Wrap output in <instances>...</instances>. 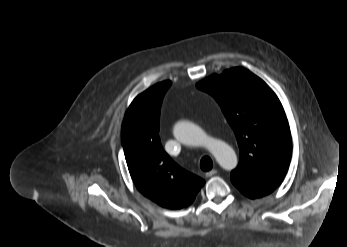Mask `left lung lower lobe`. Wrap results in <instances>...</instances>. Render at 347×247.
Instances as JSON below:
<instances>
[{"label": "left lung lower lobe", "instance_id": "0a47b994", "mask_svg": "<svg viewBox=\"0 0 347 247\" xmlns=\"http://www.w3.org/2000/svg\"><path fill=\"white\" fill-rule=\"evenodd\" d=\"M232 183L244 195H246L247 197L252 198V199L268 195L276 189V188H272V187H266V188L256 187V186H252V185L246 184V183L238 181V180H232Z\"/></svg>", "mask_w": 347, "mask_h": 247}]
</instances>
